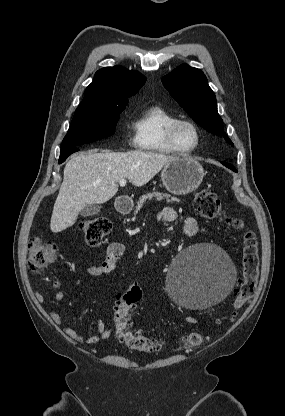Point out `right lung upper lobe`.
Here are the masks:
<instances>
[{
  "label": "right lung upper lobe",
  "instance_id": "right-lung-upper-lobe-1",
  "mask_svg": "<svg viewBox=\"0 0 285 416\" xmlns=\"http://www.w3.org/2000/svg\"><path fill=\"white\" fill-rule=\"evenodd\" d=\"M146 78L137 71L121 66L105 67L95 73L93 82L86 88L80 106L105 107L127 104L145 83Z\"/></svg>",
  "mask_w": 285,
  "mask_h": 416
}]
</instances>
